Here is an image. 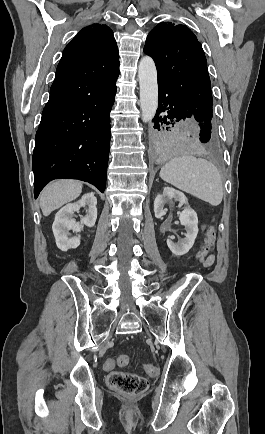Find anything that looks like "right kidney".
Listing matches in <instances>:
<instances>
[{
	"instance_id": "ca27d5eb",
	"label": "right kidney",
	"mask_w": 265,
	"mask_h": 434,
	"mask_svg": "<svg viewBox=\"0 0 265 434\" xmlns=\"http://www.w3.org/2000/svg\"><path fill=\"white\" fill-rule=\"evenodd\" d=\"M96 204L97 198H95L94 192H89V194H84L78 202L66 204L64 208H61V210L57 212L52 230L59 250L67 252L70 248H78V246H80V236L69 238V230L81 232V230H83V224L88 226V228H93L97 218ZM83 206H87L88 214L85 218H82L79 224V222H75L73 216L75 212H79L80 208H83Z\"/></svg>"
}]
</instances>
